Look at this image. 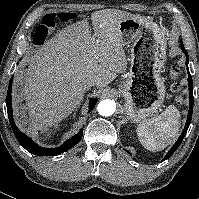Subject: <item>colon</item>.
Masks as SVG:
<instances>
[{
    "mask_svg": "<svg viewBox=\"0 0 199 199\" xmlns=\"http://www.w3.org/2000/svg\"><path fill=\"white\" fill-rule=\"evenodd\" d=\"M73 19V14L71 12L63 13H50L43 17L41 24L36 30L35 39H45L49 31L54 28L58 22H70ZM182 69L179 65L173 64L170 67V74L173 79L180 76ZM172 91L178 92L180 90L178 84L174 82L171 86Z\"/></svg>",
    "mask_w": 199,
    "mask_h": 199,
    "instance_id": "5ec220e1",
    "label": "colon"
}]
</instances>
